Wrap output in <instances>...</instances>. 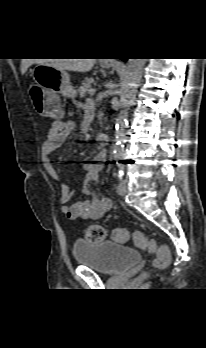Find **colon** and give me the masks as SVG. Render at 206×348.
Segmentation results:
<instances>
[{
    "label": "colon",
    "instance_id": "1",
    "mask_svg": "<svg viewBox=\"0 0 206 348\" xmlns=\"http://www.w3.org/2000/svg\"><path fill=\"white\" fill-rule=\"evenodd\" d=\"M29 94L35 107L43 114L58 118L61 114L58 102L54 96L46 95L44 90L38 85L29 86ZM107 236V231L102 225H89L85 229V238L90 242L103 241ZM112 239L116 242L125 243L130 238L134 244L149 253H154L155 258L152 266L154 269H164L170 262V251L167 246L160 245L155 239H150L140 232H130L124 228H117L112 231Z\"/></svg>",
    "mask_w": 206,
    "mask_h": 348
}]
</instances>
